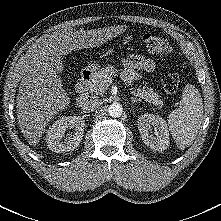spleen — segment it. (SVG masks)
I'll return each mask as SVG.
<instances>
[{"mask_svg": "<svg viewBox=\"0 0 221 221\" xmlns=\"http://www.w3.org/2000/svg\"><path fill=\"white\" fill-rule=\"evenodd\" d=\"M203 119L201 94L194 85L184 87L179 107L168 116V126L176 145L184 150L196 139Z\"/></svg>", "mask_w": 221, "mask_h": 221, "instance_id": "spleen-1", "label": "spleen"}]
</instances>
